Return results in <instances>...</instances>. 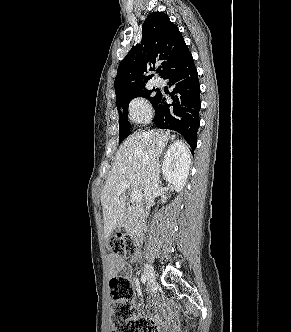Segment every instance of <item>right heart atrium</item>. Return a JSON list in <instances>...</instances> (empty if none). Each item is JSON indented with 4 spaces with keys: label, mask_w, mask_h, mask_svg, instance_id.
<instances>
[{
    "label": "right heart atrium",
    "mask_w": 291,
    "mask_h": 332,
    "mask_svg": "<svg viewBox=\"0 0 291 332\" xmlns=\"http://www.w3.org/2000/svg\"><path fill=\"white\" fill-rule=\"evenodd\" d=\"M150 115L151 110L146 101L141 98H136L131 101L129 105V116L131 120L143 123L150 118Z\"/></svg>",
    "instance_id": "right-heart-atrium-1"
}]
</instances>
